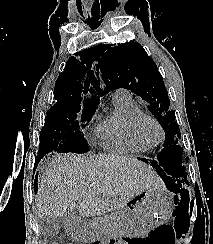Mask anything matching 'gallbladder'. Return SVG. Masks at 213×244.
<instances>
[{"mask_svg": "<svg viewBox=\"0 0 213 244\" xmlns=\"http://www.w3.org/2000/svg\"><path fill=\"white\" fill-rule=\"evenodd\" d=\"M62 218H52L43 216L39 219V226L43 234L53 237L57 235L61 229Z\"/></svg>", "mask_w": 213, "mask_h": 244, "instance_id": "gallbladder-1", "label": "gallbladder"}]
</instances>
